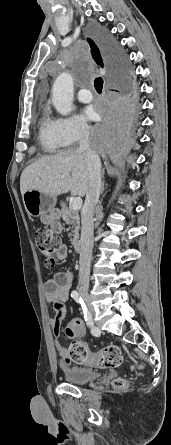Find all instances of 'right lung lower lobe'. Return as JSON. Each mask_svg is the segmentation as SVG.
I'll list each match as a JSON object with an SVG mask.
<instances>
[{"instance_id": "1", "label": "right lung lower lobe", "mask_w": 171, "mask_h": 445, "mask_svg": "<svg viewBox=\"0 0 171 445\" xmlns=\"http://www.w3.org/2000/svg\"><path fill=\"white\" fill-rule=\"evenodd\" d=\"M101 46L116 73L112 93L103 100L102 124L91 131V147L100 156L113 162L124 160L133 142L132 129L137 119L136 87L131 80L124 51L112 38L102 36Z\"/></svg>"}]
</instances>
